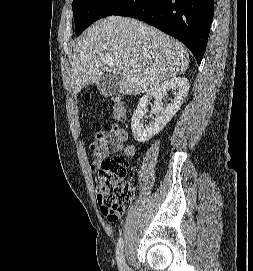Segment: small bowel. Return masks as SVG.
I'll use <instances>...</instances> for the list:
<instances>
[{
  "mask_svg": "<svg viewBox=\"0 0 253 271\" xmlns=\"http://www.w3.org/2000/svg\"><path fill=\"white\" fill-rule=\"evenodd\" d=\"M127 138V131L118 125H113L108 131L96 132L90 142V148L93 152L91 172H97L101 161L111 154L123 153L127 157L134 156L136 151L134 145H125Z\"/></svg>",
  "mask_w": 253,
  "mask_h": 271,
  "instance_id": "small-bowel-1",
  "label": "small bowel"
}]
</instances>
